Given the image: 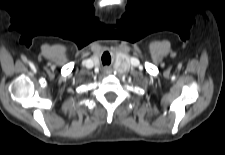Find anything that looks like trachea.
<instances>
[{
  "mask_svg": "<svg viewBox=\"0 0 225 155\" xmlns=\"http://www.w3.org/2000/svg\"><path fill=\"white\" fill-rule=\"evenodd\" d=\"M102 63H103V65H106V64H109V63H110V61H105V59H104V58H102Z\"/></svg>",
  "mask_w": 225,
  "mask_h": 155,
  "instance_id": "trachea-1",
  "label": "trachea"
}]
</instances>
